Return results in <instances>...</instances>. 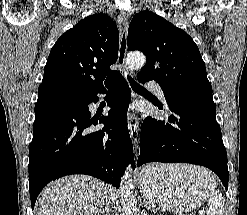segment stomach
I'll return each instance as SVG.
<instances>
[{
	"label": "stomach",
	"instance_id": "1",
	"mask_svg": "<svg viewBox=\"0 0 247 215\" xmlns=\"http://www.w3.org/2000/svg\"><path fill=\"white\" fill-rule=\"evenodd\" d=\"M138 183L144 196L174 213L200 206L215 185L207 170L184 164H152L143 168Z\"/></svg>",
	"mask_w": 247,
	"mask_h": 215
}]
</instances>
